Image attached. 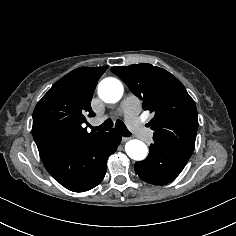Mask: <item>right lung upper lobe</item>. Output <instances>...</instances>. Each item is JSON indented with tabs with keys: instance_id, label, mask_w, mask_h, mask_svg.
<instances>
[{
	"instance_id": "cb5924a9",
	"label": "right lung upper lobe",
	"mask_w": 236,
	"mask_h": 236,
	"mask_svg": "<svg viewBox=\"0 0 236 236\" xmlns=\"http://www.w3.org/2000/svg\"><path fill=\"white\" fill-rule=\"evenodd\" d=\"M107 68H77L58 80L38 102L32 134L41 158L100 134L88 133L82 124L87 122L85 114L95 115L90 102L98 79Z\"/></svg>"
}]
</instances>
